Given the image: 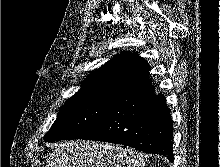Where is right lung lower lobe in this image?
<instances>
[{"label": "right lung lower lobe", "instance_id": "right-lung-lower-lobe-1", "mask_svg": "<svg viewBox=\"0 0 220 167\" xmlns=\"http://www.w3.org/2000/svg\"><path fill=\"white\" fill-rule=\"evenodd\" d=\"M172 134L166 100L150 84L115 98L104 118L81 139L118 143L173 162Z\"/></svg>", "mask_w": 220, "mask_h": 167}]
</instances>
